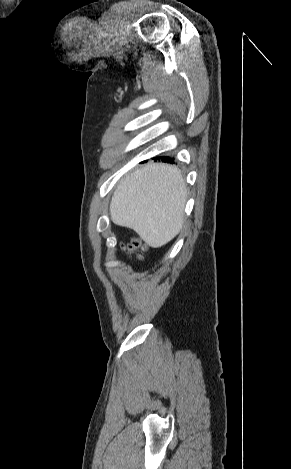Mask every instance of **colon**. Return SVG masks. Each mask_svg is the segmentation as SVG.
<instances>
[{"instance_id": "colon-1", "label": "colon", "mask_w": 291, "mask_h": 469, "mask_svg": "<svg viewBox=\"0 0 291 469\" xmlns=\"http://www.w3.org/2000/svg\"><path fill=\"white\" fill-rule=\"evenodd\" d=\"M127 249L129 252H143L145 250V247L139 240L134 239L127 246ZM138 256L140 257L141 254L139 253Z\"/></svg>"}]
</instances>
